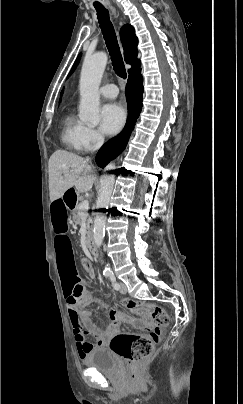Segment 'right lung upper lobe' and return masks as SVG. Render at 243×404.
<instances>
[{
    "mask_svg": "<svg viewBox=\"0 0 243 404\" xmlns=\"http://www.w3.org/2000/svg\"><path fill=\"white\" fill-rule=\"evenodd\" d=\"M120 37L124 47L125 61L127 64L132 65V68L129 69V77H131L141 70L139 67L140 61L137 60L138 39L135 35L134 28L129 24H126L121 28Z\"/></svg>",
    "mask_w": 243,
    "mask_h": 404,
    "instance_id": "right-lung-upper-lobe-1",
    "label": "right lung upper lobe"
}]
</instances>
